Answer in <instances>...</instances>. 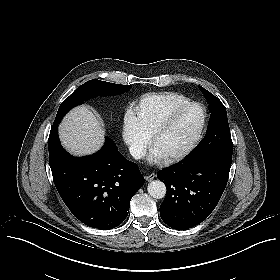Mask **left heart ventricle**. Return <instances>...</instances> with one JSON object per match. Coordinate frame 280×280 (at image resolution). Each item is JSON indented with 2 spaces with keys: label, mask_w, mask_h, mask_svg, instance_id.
<instances>
[{
  "label": "left heart ventricle",
  "mask_w": 280,
  "mask_h": 280,
  "mask_svg": "<svg viewBox=\"0 0 280 280\" xmlns=\"http://www.w3.org/2000/svg\"><path fill=\"white\" fill-rule=\"evenodd\" d=\"M197 126V115L192 113L168 128L157 144V150L170 155L178 151Z\"/></svg>",
  "instance_id": "b2bd125f"
}]
</instances>
